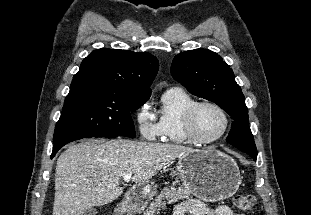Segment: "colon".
<instances>
[{"instance_id":"1","label":"colon","mask_w":311,"mask_h":215,"mask_svg":"<svg viewBox=\"0 0 311 215\" xmlns=\"http://www.w3.org/2000/svg\"><path fill=\"white\" fill-rule=\"evenodd\" d=\"M233 204L241 212V215H247L253 211L256 199L250 194H239L234 197Z\"/></svg>"}]
</instances>
